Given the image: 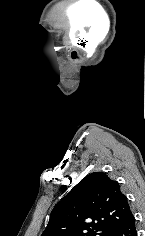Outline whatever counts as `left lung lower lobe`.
<instances>
[{
	"label": "left lung lower lobe",
	"instance_id": "obj_1",
	"mask_svg": "<svg viewBox=\"0 0 145 236\" xmlns=\"http://www.w3.org/2000/svg\"><path fill=\"white\" fill-rule=\"evenodd\" d=\"M113 236H137L133 214L114 232Z\"/></svg>",
	"mask_w": 145,
	"mask_h": 236
}]
</instances>
